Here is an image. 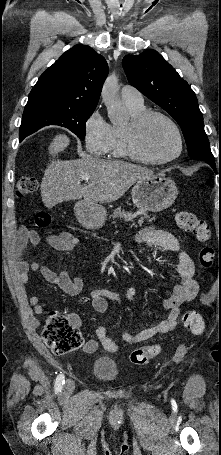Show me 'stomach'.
<instances>
[{
    "label": "stomach",
    "instance_id": "1",
    "mask_svg": "<svg viewBox=\"0 0 221 455\" xmlns=\"http://www.w3.org/2000/svg\"><path fill=\"white\" fill-rule=\"evenodd\" d=\"M133 203L141 210L159 212L170 207L178 196L174 180L152 175L136 182L132 188ZM79 222L88 229L103 226L107 211L102 205L80 201L75 205Z\"/></svg>",
    "mask_w": 221,
    "mask_h": 455
}]
</instances>
